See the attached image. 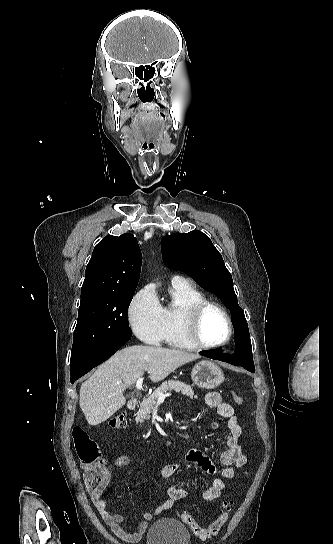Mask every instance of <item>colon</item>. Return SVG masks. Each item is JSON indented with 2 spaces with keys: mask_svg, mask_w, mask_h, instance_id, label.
<instances>
[{
  "mask_svg": "<svg viewBox=\"0 0 333 544\" xmlns=\"http://www.w3.org/2000/svg\"><path fill=\"white\" fill-rule=\"evenodd\" d=\"M232 396L236 404H243L242 396L235 392ZM109 424L114 429H124L127 425L126 414L121 412L115 415ZM72 435L77 456L84 469V481L89 490H96L104 484L107 478V470L103 463L101 451L97 443L83 428L75 427ZM231 505V502H225L218 516L208 526H201L188 512H181L179 517L190 527L196 537L206 540L216 536L221 531L229 518Z\"/></svg>",
  "mask_w": 333,
  "mask_h": 544,
  "instance_id": "colon-1",
  "label": "colon"
}]
</instances>
